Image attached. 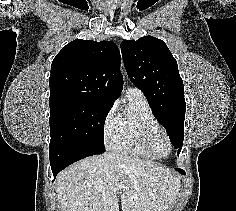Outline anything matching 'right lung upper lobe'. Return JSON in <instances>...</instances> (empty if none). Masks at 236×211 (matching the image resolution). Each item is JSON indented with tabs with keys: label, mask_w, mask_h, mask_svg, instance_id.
<instances>
[{
	"label": "right lung upper lobe",
	"mask_w": 236,
	"mask_h": 211,
	"mask_svg": "<svg viewBox=\"0 0 236 211\" xmlns=\"http://www.w3.org/2000/svg\"><path fill=\"white\" fill-rule=\"evenodd\" d=\"M120 52L110 41L76 39L53 59L49 105L93 102L113 105L122 91Z\"/></svg>",
	"instance_id": "obj_1"
}]
</instances>
